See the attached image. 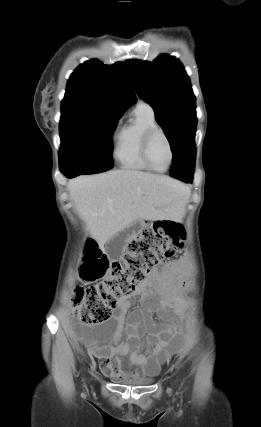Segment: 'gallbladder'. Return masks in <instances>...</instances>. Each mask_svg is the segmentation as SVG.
<instances>
[{
	"instance_id": "bac80fb5",
	"label": "gallbladder",
	"mask_w": 261,
	"mask_h": 427,
	"mask_svg": "<svg viewBox=\"0 0 261 427\" xmlns=\"http://www.w3.org/2000/svg\"><path fill=\"white\" fill-rule=\"evenodd\" d=\"M105 249L110 258H119L123 253V243L121 236L110 238L105 244Z\"/></svg>"
}]
</instances>
